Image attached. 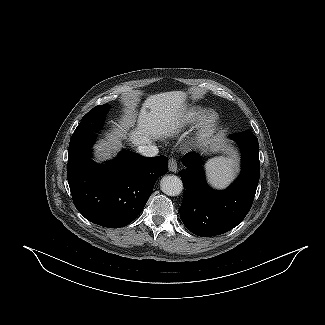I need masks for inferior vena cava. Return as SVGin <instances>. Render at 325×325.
Masks as SVG:
<instances>
[{"label": "inferior vena cava", "mask_w": 325, "mask_h": 325, "mask_svg": "<svg viewBox=\"0 0 325 325\" xmlns=\"http://www.w3.org/2000/svg\"><path fill=\"white\" fill-rule=\"evenodd\" d=\"M138 151L145 157H153L158 154V148L154 145L139 146Z\"/></svg>", "instance_id": "1"}]
</instances>
